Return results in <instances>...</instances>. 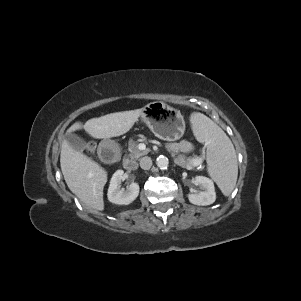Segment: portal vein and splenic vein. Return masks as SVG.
I'll return each mask as SVG.
<instances>
[{"label":"portal vein and splenic vein","instance_id":"1","mask_svg":"<svg viewBox=\"0 0 301 301\" xmlns=\"http://www.w3.org/2000/svg\"><path fill=\"white\" fill-rule=\"evenodd\" d=\"M200 163H201V160L196 164V166L199 165Z\"/></svg>","mask_w":301,"mask_h":301}]
</instances>
